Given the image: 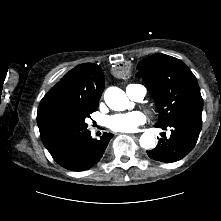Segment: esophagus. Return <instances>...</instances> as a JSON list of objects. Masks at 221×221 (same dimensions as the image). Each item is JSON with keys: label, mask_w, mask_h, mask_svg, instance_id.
<instances>
[{"label": "esophagus", "mask_w": 221, "mask_h": 221, "mask_svg": "<svg viewBox=\"0 0 221 221\" xmlns=\"http://www.w3.org/2000/svg\"><path fill=\"white\" fill-rule=\"evenodd\" d=\"M115 135H122V132L115 133ZM124 135H130V136H132V137L135 136L134 134H131V132H124Z\"/></svg>", "instance_id": "esophagus-1"}]
</instances>
